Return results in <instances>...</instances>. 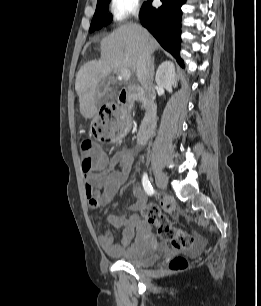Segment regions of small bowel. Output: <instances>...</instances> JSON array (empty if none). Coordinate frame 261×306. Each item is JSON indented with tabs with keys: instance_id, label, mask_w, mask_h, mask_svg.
Returning a JSON list of instances; mask_svg holds the SVG:
<instances>
[{
	"instance_id": "obj_1",
	"label": "small bowel",
	"mask_w": 261,
	"mask_h": 306,
	"mask_svg": "<svg viewBox=\"0 0 261 306\" xmlns=\"http://www.w3.org/2000/svg\"><path fill=\"white\" fill-rule=\"evenodd\" d=\"M99 165L94 169L84 172V189L88 204L92 209L100 208L112 203L120 188L128 180L135 161V151L123 148L106 158L103 153L97 151ZM136 201L131 205L132 210H140L147 204V196L139 186L133 188ZM103 222L122 230V241L120 244L114 241V235L110 231H104L98 236V244L109 256L123 257L132 253L135 245L143 238L132 243L136 229L143 232L147 225L141 222L138 214L134 213L128 217L111 215L103 219Z\"/></svg>"
}]
</instances>
